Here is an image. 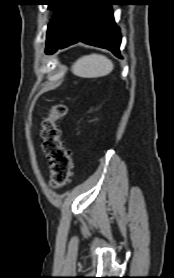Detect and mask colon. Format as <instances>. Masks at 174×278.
Listing matches in <instances>:
<instances>
[{
	"mask_svg": "<svg viewBox=\"0 0 174 278\" xmlns=\"http://www.w3.org/2000/svg\"><path fill=\"white\" fill-rule=\"evenodd\" d=\"M65 104L52 105L42 122L43 151L49 163L50 184L59 188L69 181L72 167L71 151L64 145L59 122L66 116Z\"/></svg>",
	"mask_w": 174,
	"mask_h": 278,
	"instance_id": "obj_1",
	"label": "colon"
}]
</instances>
